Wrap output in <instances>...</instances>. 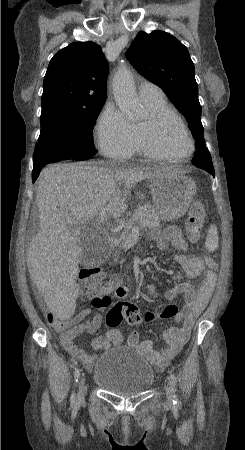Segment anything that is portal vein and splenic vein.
I'll return each instance as SVG.
<instances>
[{
    "label": "portal vein and splenic vein",
    "instance_id": "obj_1",
    "mask_svg": "<svg viewBox=\"0 0 245 450\" xmlns=\"http://www.w3.org/2000/svg\"><path fill=\"white\" fill-rule=\"evenodd\" d=\"M106 212H107V209H106V208H101V210H100V212H99V216H100V219H101V220H103V219L106 217ZM132 230H133V231H138V227H137V226H134Z\"/></svg>",
    "mask_w": 245,
    "mask_h": 450
}]
</instances>
